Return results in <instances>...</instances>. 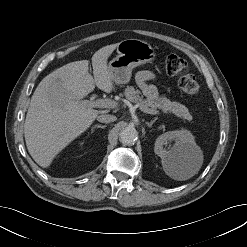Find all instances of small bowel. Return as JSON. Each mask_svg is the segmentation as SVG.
Returning a JSON list of instances; mask_svg holds the SVG:
<instances>
[{"label": "small bowel", "mask_w": 247, "mask_h": 247, "mask_svg": "<svg viewBox=\"0 0 247 247\" xmlns=\"http://www.w3.org/2000/svg\"><path fill=\"white\" fill-rule=\"evenodd\" d=\"M156 78L155 74L149 70H142L136 75V83L139 89L142 91L144 96L150 100H153L157 97L158 92L155 86L149 84V81H152Z\"/></svg>", "instance_id": "1"}]
</instances>
